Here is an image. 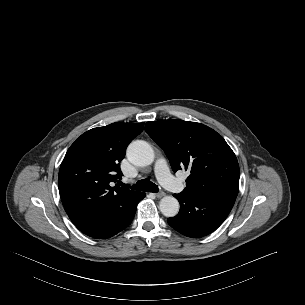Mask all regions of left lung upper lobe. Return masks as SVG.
Listing matches in <instances>:
<instances>
[{"label": "left lung upper lobe", "instance_id": "obj_1", "mask_svg": "<svg viewBox=\"0 0 305 305\" xmlns=\"http://www.w3.org/2000/svg\"><path fill=\"white\" fill-rule=\"evenodd\" d=\"M145 131L164 150L174 172L190 171L181 194L237 197L238 161L216 131L179 119L147 122Z\"/></svg>", "mask_w": 305, "mask_h": 305}]
</instances>
